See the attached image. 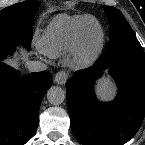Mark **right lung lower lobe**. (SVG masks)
<instances>
[{
	"label": "right lung lower lobe",
	"mask_w": 145,
	"mask_h": 145,
	"mask_svg": "<svg viewBox=\"0 0 145 145\" xmlns=\"http://www.w3.org/2000/svg\"><path fill=\"white\" fill-rule=\"evenodd\" d=\"M49 72H19L0 63V145H24L38 126L41 101L51 87Z\"/></svg>",
	"instance_id": "98d812e1"
}]
</instances>
